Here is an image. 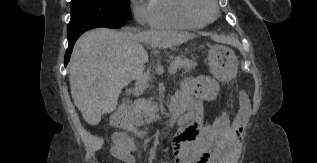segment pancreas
I'll return each mask as SVG.
<instances>
[{
  "label": "pancreas",
  "mask_w": 317,
  "mask_h": 163,
  "mask_svg": "<svg viewBox=\"0 0 317 163\" xmlns=\"http://www.w3.org/2000/svg\"><path fill=\"white\" fill-rule=\"evenodd\" d=\"M197 63L187 58L176 57L171 63L170 68L183 69L184 73H190L196 68ZM157 105L152 99L146 100L140 98L131 104L125 114V121L135 125L143 126L145 123H150L156 118Z\"/></svg>",
  "instance_id": "obj_1"
}]
</instances>
